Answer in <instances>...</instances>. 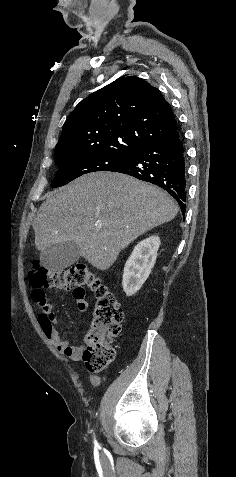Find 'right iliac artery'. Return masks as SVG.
I'll return each mask as SVG.
<instances>
[{
  "instance_id": "obj_1",
  "label": "right iliac artery",
  "mask_w": 236,
  "mask_h": 477,
  "mask_svg": "<svg viewBox=\"0 0 236 477\" xmlns=\"http://www.w3.org/2000/svg\"><path fill=\"white\" fill-rule=\"evenodd\" d=\"M94 444H95V446H98V443L95 439H94Z\"/></svg>"
}]
</instances>
